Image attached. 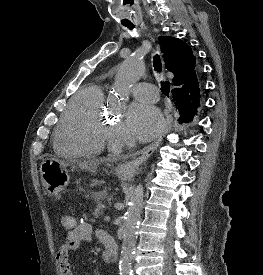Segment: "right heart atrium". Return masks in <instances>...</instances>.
<instances>
[{
	"instance_id": "d8ad5b80",
	"label": "right heart atrium",
	"mask_w": 263,
	"mask_h": 275,
	"mask_svg": "<svg viewBox=\"0 0 263 275\" xmlns=\"http://www.w3.org/2000/svg\"><path fill=\"white\" fill-rule=\"evenodd\" d=\"M110 140L113 146L118 147L124 143V138L118 128L112 129L110 133Z\"/></svg>"
}]
</instances>
